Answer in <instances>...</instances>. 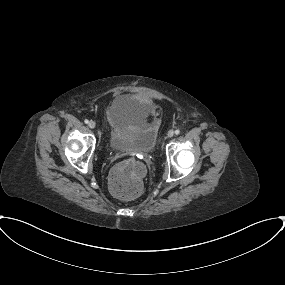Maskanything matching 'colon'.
<instances>
[{
    "instance_id": "1",
    "label": "colon",
    "mask_w": 285,
    "mask_h": 285,
    "mask_svg": "<svg viewBox=\"0 0 285 285\" xmlns=\"http://www.w3.org/2000/svg\"><path fill=\"white\" fill-rule=\"evenodd\" d=\"M145 168L138 161H130L115 167L109 177V188L113 196L121 200H133L144 189Z\"/></svg>"
}]
</instances>
